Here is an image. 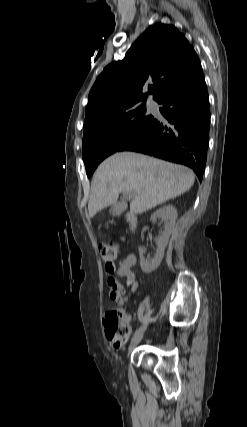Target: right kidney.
Instances as JSON below:
<instances>
[{"label":"right kidney","instance_id":"obj_1","mask_svg":"<svg viewBox=\"0 0 247 427\" xmlns=\"http://www.w3.org/2000/svg\"><path fill=\"white\" fill-rule=\"evenodd\" d=\"M157 218H162L165 224H164V231L162 235L159 237L157 242L158 247H157L155 257L153 259H146L143 256L144 251L142 247H139L140 266L142 271L146 274H149L155 269H157L164 257V251L168 244L169 237L175 227V223L177 219V210L172 205L163 206L162 208L154 212L151 216L152 221H156ZM146 228L147 227L143 228L142 234L146 230Z\"/></svg>","mask_w":247,"mask_h":427}]
</instances>
